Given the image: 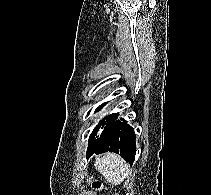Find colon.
<instances>
[{"mask_svg":"<svg viewBox=\"0 0 211 195\" xmlns=\"http://www.w3.org/2000/svg\"><path fill=\"white\" fill-rule=\"evenodd\" d=\"M101 183L100 182H95L94 183V188L96 189V190H99V189H101Z\"/></svg>","mask_w":211,"mask_h":195,"instance_id":"obj_1","label":"colon"}]
</instances>
